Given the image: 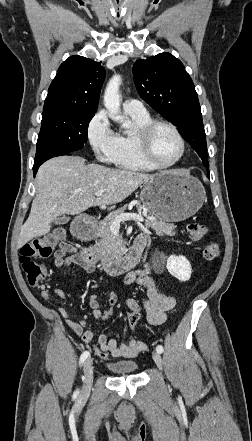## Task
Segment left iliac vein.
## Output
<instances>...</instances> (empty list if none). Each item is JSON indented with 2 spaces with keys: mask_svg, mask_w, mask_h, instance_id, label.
Masks as SVG:
<instances>
[{
  "mask_svg": "<svg viewBox=\"0 0 252 441\" xmlns=\"http://www.w3.org/2000/svg\"><path fill=\"white\" fill-rule=\"evenodd\" d=\"M153 360L156 363V365L158 366V368L161 369L163 366V360H162L160 353H158V352L153 353Z\"/></svg>",
  "mask_w": 252,
  "mask_h": 441,
  "instance_id": "left-iliac-vein-1",
  "label": "left iliac vein"
}]
</instances>
